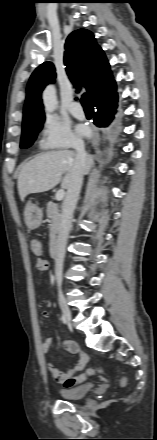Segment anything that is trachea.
<instances>
[{"mask_svg": "<svg viewBox=\"0 0 157 440\" xmlns=\"http://www.w3.org/2000/svg\"><path fill=\"white\" fill-rule=\"evenodd\" d=\"M81 103L86 113H94L93 104L90 97L87 94H83L81 98Z\"/></svg>", "mask_w": 157, "mask_h": 440, "instance_id": "trachea-1", "label": "trachea"}]
</instances>
